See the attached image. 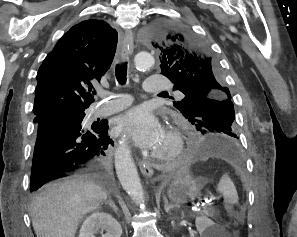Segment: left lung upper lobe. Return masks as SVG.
<instances>
[{"label": "left lung upper lobe", "mask_w": 297, "mask_h": 237, "mask_svg": "<svg viewBox=\"0 0 297 237\" xmlns=\"http://www.w3.org/2000/svg\"><path fill=\"white\" fill-rule=\"evenodd\" d=\"M152 45L159 54L161 74L184 94L174 106L201 133L222 135L237 144L231 95L207 43L190 32L161 25L152 32Z\"/></svg>", "instance_id": "1"}]
</instances>
